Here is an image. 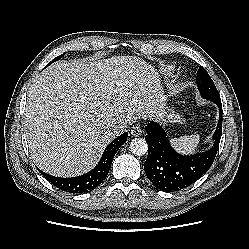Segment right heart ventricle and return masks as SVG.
<instances>
[{
	"label": "right heart ventricle",
	"instance_id": "e07e8e85",
	"mask_svg": "<svg viewBox=\"0 0 249 249\" xmlns=\"http://www.w3.org/2000/svg\"><path fill=\"white\" fill-rule=\"evenodd\" d=\"M170 71H171V68L168 69V72H170Z\"/></svg>",
	"mask_w": 249,
	"mask_h": 249
}]
</instances>
